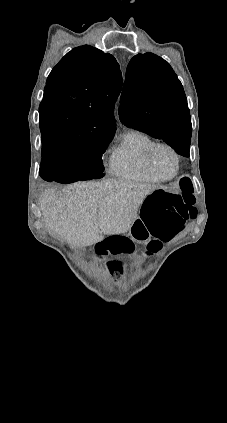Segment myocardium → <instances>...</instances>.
Listing matches in <instances>:
<instances>
[{
    "label": "myocardium",
    "instance_id": "f54148a6",
    "mask_svg": "<svg viewBox=\"0 0 227 423\" xmlns=\"http://www.w3.org/2000/svg\"><path fill=\"white\" fill-rule=\"evenodd\" d=\"M157 148H165L167 150H169L176 162V170L174 172V174L170 177H162L160 176L155 169L153 168L152 162H151V157L153 152L157 149ZM144 165L146 170L157 180L162 181V182H166V181H171L173 179H175L177 177V175L180 172V166H181V160H180V156L178 154V152L176 151V149L171 146L170 144L164 143V142H153L151 145L148 146V148L145 150L144 153Z\"/></svg>",
    "mask_w": 227,
    "mask_h": 423
}]
</instances>
